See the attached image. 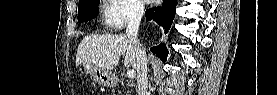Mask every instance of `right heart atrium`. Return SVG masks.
I'll list each match as a JSON object with an SVG mask.
<instances>
[{
	"label": "right heart atrium",
	"instance_id": "obj_1",
	"mask_svg": "<svg viewBox=\"0 0 277 95\" xmlns=\"http://www.w3.org/2000/svg\"><path fill=\"white\" fill-rule=\"evenodd\" d=\"M113 8L106 14V24L113 30L123 29L128 22L137 19L142 13L138 0H110Z\"/></svg>",
	"mask_w": 277,
	"mask_h": 95
}]
</instances>
